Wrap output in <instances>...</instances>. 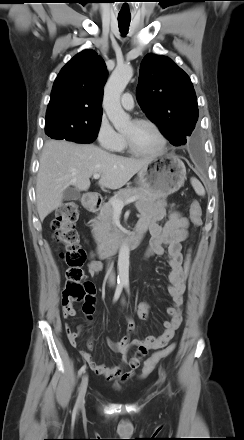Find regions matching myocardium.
Masks as SVG:
<instances>
[{
    "mask_svg": "<svg viewBox=\"0 0 244 440\" xmlns=\"http://www.w3.org/2000/svg\"><path fill=\"white\" fill-rule=\"evenodd\" d=\"M133 123L151 126L159 135V137L161 139V146L155 152H144V151L139 150L135 146L133 141L128 136L123 134V138H124L126 147L129 152H131L132 154L138 155V156L152 157V156L161 155L167 150V148H168L167 136L165 135L162 128L156 122H154L151 119H147V118H136L133 120Z\"/></svg>",
    "mask_w": 244,
    "mask_h": 440,
    "instance_id": "1",
    "label": "myocardium"
}]
</instances>
